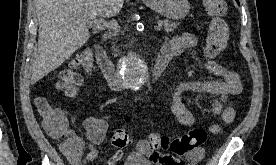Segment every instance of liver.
Wrapping results in <instances>:
<instances>
[{"instance_id": "6515ba94", "label": "liver", "mask_w": 276, "mask_h": 165, "mask_svg": "<svg viewBox=\"0 0 276 165\" xmlns=\"http://www.w3.org/2000/svg\"><path fill=\"white\" fill-rule=\"evenodd\" d=\"M124 0H37L38 47L31 62V84L57 69L89 39L88 23L114 17Z\"/></svg>"}]
</instances>
